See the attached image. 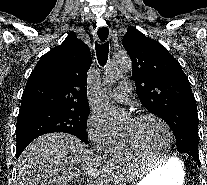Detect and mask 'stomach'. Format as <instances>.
Returning <instances> with one entry per match:
<instances>
[{"label": "stomach", "instance_id": "0dacf381", "mask_svg": "<svg viewBox=\"0 0 207 185\" xmlns=\"http://www.w3.org/2000/svg\"><path fill=\"white\" fill-rule=\"evenodd\" d=\"M184 180V164L173 157L151 170L138 185H183Z\"/></svg>", "mask_w": 207, "mask_h": 185}]
</instances>
